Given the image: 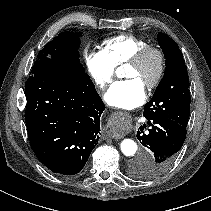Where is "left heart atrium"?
Segmentation results:
<instances>
[{"label": "left heart atrium", "instance_id": "1", "mask_svg": "<svg viewBox=\"0 0 211 211\" xmlns=\"http://www.w3.org/2000/svg\"><path fill=\"white\" fill-rule=\"evenodd\" d=\"M145 86L136 78L115 82L105 93V101L112 107L132 109L145 99Z\"/></svg>", "mask_w": 211, "mask_h": 211}]
</instances>
